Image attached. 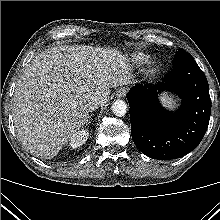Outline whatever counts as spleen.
<instances>
[{"label":"spleen","mask_w":220,"mask_h":220,"mask_svg":"<svg viewBox=\"0 0 220 220\" xmlns=\"http://www.w3.org/2000/svg\"><path fill=\"white\" fill-rule=\"evenodd\" d=\"M161 100L164 102V103H166V105L168 106V107H174L175 106V102L173 101V99L172 98H170V97H168V96H163L162 98H161Z\"/></svg>","instance_id":"1"}]
</instances>
